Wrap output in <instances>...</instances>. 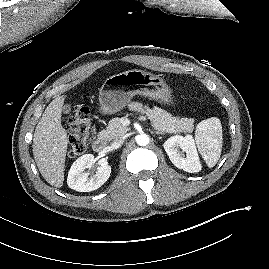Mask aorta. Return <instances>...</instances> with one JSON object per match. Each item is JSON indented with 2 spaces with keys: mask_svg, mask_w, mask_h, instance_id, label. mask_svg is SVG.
I'll use <instances>...</instances> for the list:
<instances>
[{
  "mask_svg": "<svg viewBox=\"0 0 269 269\" xmlns=\"http://www.w3.org/2000/svg\"><path fill=\"white\" fill-rule=\"evenodd\" d=\"M136 142L139 146H146L149 144V137L146 134H140L136 137Z\"/></svg>",
  "mask_w": 269,
  "mask_h": 269,
  "instance_id": "1",
  "label": "aorta"
}]
</instances>
